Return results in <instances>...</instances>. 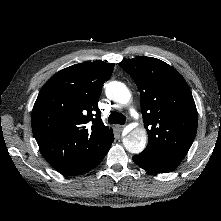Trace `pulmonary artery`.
<instances>
[{"label": "pulmonary artery", "instance_id": "1", "mask_svg": "<svg viewBox=\"0 0 221 221\" xmlns=\"http://www.w3.org/2000/svg\"><path fill=\"white\" fill-rule=\"evenodd\" d=\"M132 114L135 115V112L132 110Z\"/></svg>", "mask_w": 221, "mask_h": 221}]
</instances>
